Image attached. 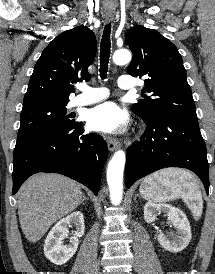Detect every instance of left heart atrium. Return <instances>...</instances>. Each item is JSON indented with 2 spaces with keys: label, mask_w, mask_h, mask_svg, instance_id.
Wrapping results in <instances>:
<instances>
[{
  "label": "left heart atrium",
  "mask_w": 215,
  "mask_h": 274,
  "mask_svg": "<svg viewBox=\"0 0 215 274\" xmlns=\"http://www.w3.org/2000/svg\"><path fill=\"white\" fill-rule=\"evenodd\" d=\"M127 114L114 102L102 103L88 113L87 122L92 130L106 133L118 134L127 126Z\"/></svg>",
  "instance_id": "obj_1"
}]
</instances>
